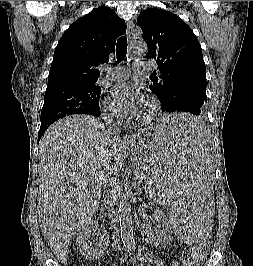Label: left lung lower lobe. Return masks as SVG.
Returning a JSON list of instances; mask_svg holds the SVG:
<instances>
[{
    "instance_id": "left-lung-lower-lobe-1",
    "label": "left lung lower lobe",
    "mask_w": 253,
    "mask_h": 266,
    "mask_svg": "<svg viewBox=\"0 0 253 266\" xmlns=\"http://www.w3.org/2000/svg\"><path fill=\"white\" fill-rule=\"evenodd\" d=\"M206 101L199 91L187 88L177 92L174 96L173 103L167 109H162V112L184 111L200 116L205 112ZM189 121L184 127L185 130L194 132L203 128V120L199 117H193ZM180 128L182 131L184 130L182 127ZM177 132L181 131L178 130Z\"/></svg>"
}]
</instances>
